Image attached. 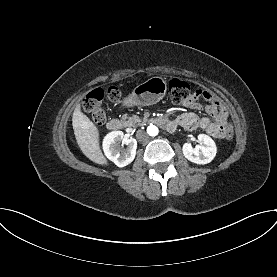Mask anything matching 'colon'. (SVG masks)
Here are the masks:
<instances>
[{
    "label": "colon",
    "instance_id": "colon-1",
    "mask_svg": "<svg viewBox=\"0 0 277 277\" xmlns=\"http://www.w3.org/2000/svg\"><path fill=\"white\" fill-rule=\"evenodd\" d=\"M168 90L173 102L182 104L191 101L197 97V90L186 81L180 79H172L168 84ZM104 91L100 88L90 91L83 100V110L91 116L92 121L101 125L106 120V111L103 106ZM107 96L111 100H117L120 96L116 88H110ZM235 139V123L229 122L226 126V141Z\"/></svg>",
    "mask_w": 277,
    "mask_h": 277
}]
</instances>
